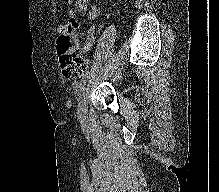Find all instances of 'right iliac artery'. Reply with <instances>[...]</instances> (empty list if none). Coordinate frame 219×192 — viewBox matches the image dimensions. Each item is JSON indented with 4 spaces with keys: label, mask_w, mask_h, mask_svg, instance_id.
Instances as JSON below:
<instances>
[{
    "label": "right iliac artery",
    "mask_w": 219,
    "mask_h": 192,
    "mask_svg": "<svg viewBox=\"0 0 219 192\" xmlns=\"http://www.w3.org/2000/svg\"><path fill=\"white\" fill-rule=\"evenodd\" d=\"M85 83H86V80L85 78H83L80 82L74 84V88L78 92V95H79V100L81 99V95H82L81 92H82V89Z\"/></svg>",
    "instance_id": "obj_1"
}]
</instances>
